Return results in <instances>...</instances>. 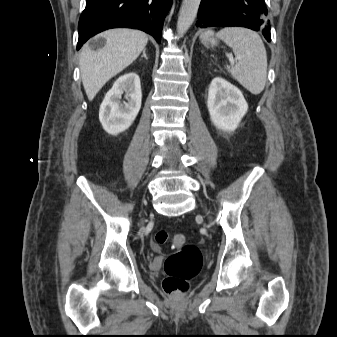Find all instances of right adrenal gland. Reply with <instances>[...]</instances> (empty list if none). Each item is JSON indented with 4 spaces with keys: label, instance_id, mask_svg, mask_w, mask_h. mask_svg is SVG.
Wrapping results in <instances>:
<instances>
[{
    "label": "right adrenal gland",
    "instance_id": "obj_1",
    "mask_svg": "<svg viewBox=\"0 0 337 337\" xmlns=\"http://www.w3.org/2000/svg\"><path fill=\"white\" fill-rule=\"evenodd\" d=\"M141 57H144L145 59H148L145 50L143 51V55Z\"/></svg>",
    "mask_w": 337,
    "mask_h": 337
}]
</instances>
